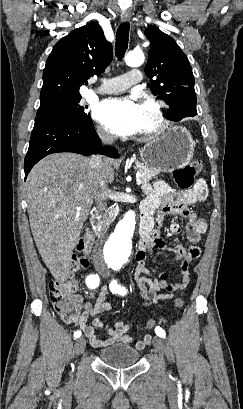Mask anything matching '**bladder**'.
<instances>
[{
	"instance_id": "31cf9c89",
	"label": "bladder",
	"mask_w": 243,
	"mask_h": 409,
	"mask_svg": "<svg viewBox=\"0 0 243 409\" xmlns=\"http://www.w3.org/2000/svg\"><path fill=\"white\" fill-rule=\"evenodd\" d=\"M140 357L139 351L126 344H113L99 351V359L107 366L126 368L135 365Z\"/></svg>"
}]
</instances>
